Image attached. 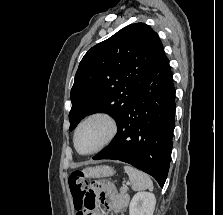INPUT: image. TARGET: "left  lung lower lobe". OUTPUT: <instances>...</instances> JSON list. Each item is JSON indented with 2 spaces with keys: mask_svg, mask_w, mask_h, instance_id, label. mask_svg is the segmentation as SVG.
I'll use <instances>...</instances> for the list:
<instances>
[{
  "mask_svg": "<svg viewBox=\"0 0 223 215\" xmlns=\"http://www.w3.org/2000/svg\"><path fill=\"white\" fill-rule=\"evenodd\" d=\"M175 108L173 76L165 59L135 95L112 142L93 159L129 163L163 187L171 160Z\"/></svg>",
  "mask_w": 223,
  "mask_h": 215,
  "instance_id": "left-lung-lower-lobe-1",
  "label": "left lung lower lobe"
}]
</instances>
